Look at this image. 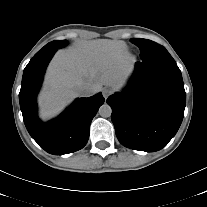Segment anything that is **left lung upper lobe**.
<instances>
[{
  "instance_id": "1",
  "label": "left lung upper lobe",
  "mask_w": 207,
  "mask_h": 207,
  "mask_svg": "<svg viewBox=\"0 0 207 207\" xmlns=\"http://www.w3.org/2000/svg\"><path fill=\"white\" fill-rule=\"evenodd\" d=\"M130 41L140 48L141 60L148 61V60L171 57L169 52L163 46L151 40L134 38L131 39Z\"/></svg>"
}]
</instances>
